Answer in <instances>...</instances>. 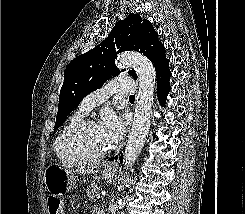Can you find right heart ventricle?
Instances as JSON below:
<instances>
[{"label": "right heart ventricle", "mask_w": 245, "mask_h": 214, "mask_svg": "<svg viewBox=\"0 0 245 214\" xmlns=\"http://www.w3.org/2000/svg\"><path fill=\"white\" fill-rule=\"evenodd\" d=\"M86 112L81 108L73 112L66 120L58 134L56 135L53 142V150L58 158V160L64 164L72 165L75 164L76 161L71 159L64 151L63 143L65 136L70 131L72 127H74L77 123L84 119Z\"/></svg>", "instance_id": "obj_1"}]
</instances>
